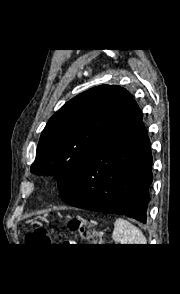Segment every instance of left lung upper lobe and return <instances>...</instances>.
Wrapping results in <instances>:
<instances>
[{"mask_svg": "<svg viewBox=\"0 0 180 294\" xmlns=\"http://www.w3.org/2000/svg\"><path fill=\"white\" fill-rule=\"evenodd\" d=\"M134 101L116 85L97 86L68 101L46 124L31 172L54 175L60 197L70 195L96 150Z\"/></svg>", "mask_w": 180, "mask_h": 294, "instance_id": "obj_1", "label": "left lung upper lobe"}]
</instances>
